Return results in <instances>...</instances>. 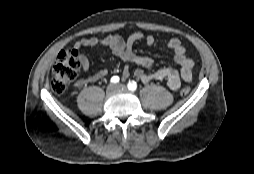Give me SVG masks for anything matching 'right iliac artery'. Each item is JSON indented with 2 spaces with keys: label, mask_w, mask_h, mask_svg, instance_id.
I'll list each match as a JSON object with an SVG mask.
<instances>
[{
  "label": "right iliac artery",
  "mask_w": 254,
  "mask_h": 174,
  "mask_svg": "<svg viewBox=\"0 0 254 174\" xmlns=\"http://www.w3.org/2000/svg\"><path fill=\"white\" fill-rule=\"evenodd\" d=\"M111 82H112V83H118V82H119V77H118V76H113V77L111 78Z\"/></svg>",
  "instance_id": "right-iliac-artery-1"
}]
</instances>
